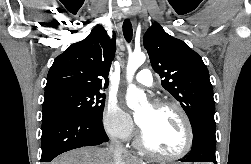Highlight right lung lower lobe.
Masks as SVG:
<instances>
[{"label":"right lung lower lobe","mask_w":251,"mask_h":164,"mask_svg":"<svg viewBox=\"0 0 251 164\" xmlns=\"http://www.w3.org/2000/svg\"><path fill=\"white\" fill-rule=\"evenodd\" d=\"M108 141L101 120L55 113L43 117L41 162H50L66 151L100 146Z\"/></svg>","instance_id":"obj_1"}]
</instances>
